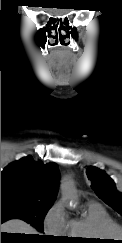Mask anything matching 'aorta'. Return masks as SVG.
Masks as SVG:
<instances>
[{
  "mask_svg": "<svg viewBox=\"0 0 122 243\" xmlns=\"http://www.w3.org/2000/svg\"><path fill=\"white\" fill-rule=\"evenodd\" d=\"M61 186L64 199L71 205L76 201L73 182L68 178H64Z\"/></svg>",
  "mask_w": 122,
  "mask_h": 243,
  "instance_id": "1",
  "label": "aorta"
}]
</instances>
